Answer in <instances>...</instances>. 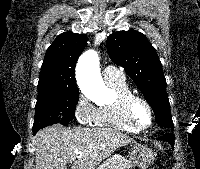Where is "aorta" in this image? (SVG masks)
<instances>
[{"mask_svg":"<svg viewBox=\"0 0 200 169\" xmlns=\"http://www.w3.org/2000/svg\"><path fill=\"white\" fill-rule=\"evenodd\" d=\"M77 83L81 91L98 102L108 92L99 70V56L95 50L85 51L78 60L76 67Z\"/></svg>","mask_w":200,"mask_h":169,"instance_id":"aorta-1","label":"aorta"}]
</instances>
